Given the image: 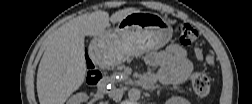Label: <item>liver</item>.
I'll use <instances>...</instances> for the list:
<instances>
[{
  "label": "liver",
  "mask_w": 252,
  "mask_h": 104,
  "mask_svg": "<svg viewBox=\"0 0 252 104\" xmlns=\"http://www.w3.org/2000/svg\"><path fill=\"white\" fill-rule=\"evenodd\" d=\"M136 8L119 10L109 17L97 10L83 14L59 27L48 42L37 72V93L41 104H63L83 84L86 75L85 36L96 37Z\"/></svg>",
  "instance_id": "1"
}]
</instances>
